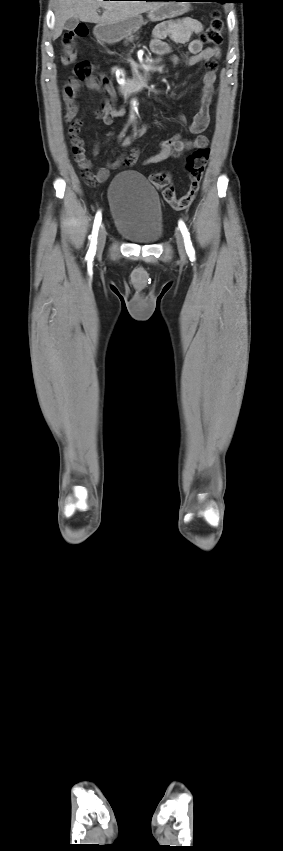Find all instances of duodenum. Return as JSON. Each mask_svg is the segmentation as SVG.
<instances>
[{"instance_id":"410a0bca","label":"duodenum","mask_w":283,"mask_h":851,"mask_svg":"<svg viewBox=\"0 0 283 851\" xmlns=\"http://www.w3.org/2000/svg\"><path fill=\"white\" fill-rule=\"evenodd\" d=\"M151 71L152 67L151 65H148L141 75L126 79L119 85L120 93L128 95L132 92L144 89L149 83Z\"/></svg>"}]
</instances>
